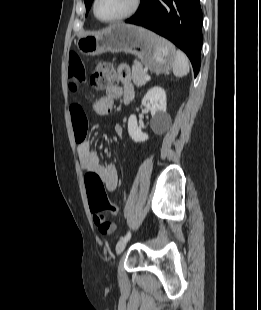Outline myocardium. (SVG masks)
Returning <instances> with one entry per match:
<instances>
[{"instance_id": "f54148a6", "label": "myocardium", "mask_w": 261, "mask_h": 310, "mask_svg": "<svg viewBox=\"0 0 261 310\" xmlns=\"http://www.w3.org/2000/svg\"><path fill=\"white\" fill-rule=\"evenodd\" d=\"M97 3H98V0H94L93 4H92L93 14L96 17V19L102 23L113 24V23H117V22L127 20V19L131 18L133 15H135L136 12L138 11L140 5H141V0H132V5L127 12H125L124 14H122L118 17L111 18V19H104L98 15Z\"/></svg>"}]
</instances>
